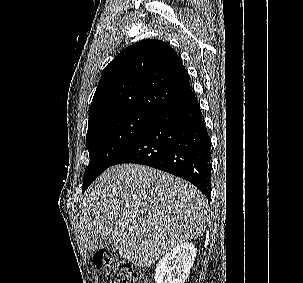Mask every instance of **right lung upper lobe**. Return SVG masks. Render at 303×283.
<instances>
[{
    "mask_svg": "<svg viewBox=\"0 0 303 283\" xmlns=\"http://www.w3.org/2000/svg\"><path fill=\"white\" fill-rule=\"evenodd\" d=\"M175 50L159 40L137 42L104 69L89 112V125L123 112L157 114L191 93Z\"/></svg>",
    "mask_w": 303,
    "mask_h": 283,
    "instance_id": "1",
    "label": "right lung upper lobe"
}]
</instances>
